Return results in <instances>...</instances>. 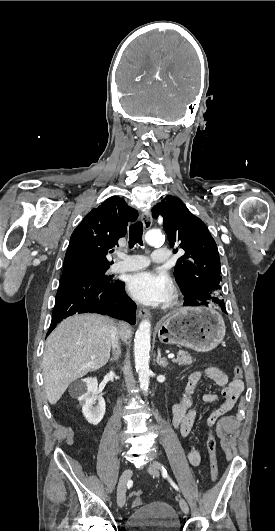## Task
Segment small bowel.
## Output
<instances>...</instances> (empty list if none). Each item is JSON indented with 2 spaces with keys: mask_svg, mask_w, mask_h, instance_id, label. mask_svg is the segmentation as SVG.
Masks as SVG:
<instances>
[{
  "mask_svg": "<svg viewBox=\"0 0 275 531\" xmlns=\"http://www.w3.org/2000/svg\"><path fill=\"white\" fill-rule=\"evenodd\" d=\"M203 379L211 380L216 386L223 389V403L211 412L206 420L209 427L214 426L220 418L234 408L243 391L241 378L234 377L229 379L226 373L220 368L212 366L202 372H191L188 376V383L182 399L172 408L173 425L182 437H189L192 434L198 412L195 397ZM201 400L204 403L213 404L218 401V396L215 393H205L202 395ZM187 457L193 466H197L201 462V454L195 445L192 446ZM142 504L143 500L139 497H136L131 503L134 508Z\"/></svg>",
  "mask_w": 275,
  "mask_h": 531,
  "instance_id": "c3829d8e",
  "label": "small bowel"
}]
</instances>
